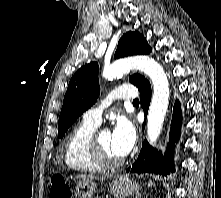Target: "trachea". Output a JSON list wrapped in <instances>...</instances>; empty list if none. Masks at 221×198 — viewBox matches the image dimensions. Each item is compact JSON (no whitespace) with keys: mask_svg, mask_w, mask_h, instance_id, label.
Masks as SVG:
<instances>
[{"mask_svg":"<svg viewBox=\"0 0 221 198\" xmlns=\"http://www.w3.org/2000/svg\"><path fill=\"white\" fill-rule=\"evenodd\" d=\"M139 103V100L138 99H135L134 101H133V104H138Z\"/></svg>","mask_w":221,"mask_h":198,"instance_id":"trachea-1","label":"trachea"}]
</instances>
